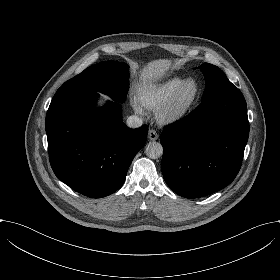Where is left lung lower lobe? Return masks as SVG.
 Masks as SVG:
<instances>
[{
  "instance_id": "1",
  "label": "left lung lower lobe",
  "mask_w": 280,
  "mask_h": 280,
  "mask_svg": "<svg viewBox=\"0 0 280 280\" xmlns=\"http://www.w3.org/2000/svg\"><path fill=\"white\" fill-rule=\"evenodd\" d=\"M248 136L247 105L240 90L201 103L160 135L164 180L185 198L224 188L240 170Z\"/></svg>"
}]
</instances>
